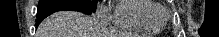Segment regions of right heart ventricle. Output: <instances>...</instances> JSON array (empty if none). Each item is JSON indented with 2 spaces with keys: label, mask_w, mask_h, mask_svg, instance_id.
Instances as JSON below:
<instances>
[{
  "label": "right heart ventricle",
  "mask_w": 219,
  "mask_h": 37,
  "mask_svg": "<svg viewBox=\"0 0 219 37\" xmlns=\"http://www.w3.org/2000/svg\"><path fill=\"white\" fill-rule=\"evenodd\" d=\"M160 8L157 1L122 0L115 8L113 24L124 30L156 34L162 26L157 17Z\"/></svg>",
  "instance_id": "obj_1"
}]
</instances>
